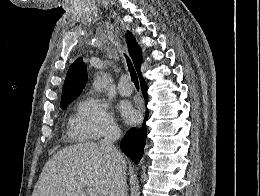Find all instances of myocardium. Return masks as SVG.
Returning <instances> with one entry per match:
<instances>
[{"mask_svg": "<svg viewBox=\"0 0 260 196\" xmlns=\"http://www.w3.org/2000/svg\"><path fill=\"white\" fill-rule=\"evenodd\" d=\"M51 192H55V190H51Z\"/></svg>", "mask_w": 260, "mask_h": 196, "instance_id": "myocardium-1", "label": "myocardium"}]
</instances>
